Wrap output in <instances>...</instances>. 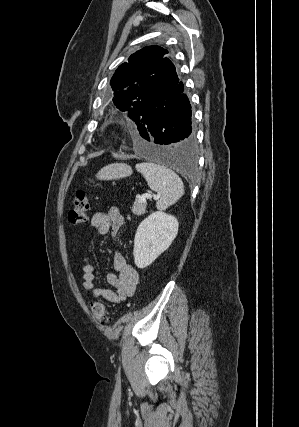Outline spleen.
Instances as JSON below:
<instances>
[{
    "instance_id": "1",
    "label": "spleen",
    "mask_w": 299,
    "mask_h": 427,
    "mask_svg": "<svg viewBox=\"0 0 299 427\" xmlns=\"http://www.w3.org/2000/svg\"><path fill=\"white\" fill-rule=\"evenodd\" d=\"M136 170L143 175L149 188L160 195L157 209H167L184 195L181 178L166 166L143 162L136 165Z\"/></svg>"
}]
</instances>
